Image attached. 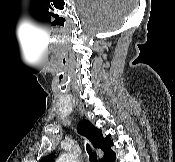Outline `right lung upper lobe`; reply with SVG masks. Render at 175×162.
<instances>
[{
  "label": "right lung upper lobe",
  "instance_id": "cb5924a9",
  "mask_svg": "<svg viewBox=\"0 0 175 162\" xmlns=\"http://www.w3.org/2000/svg\"><path fill=\"white\" fill-rule=\"evenodd\" d=\"M77 131L81 135L86 136L95 148L104 151V157L100 160V162H106V160H108V158L114 153L110 150V147L113 144L110 134L103 137L102 131L96 128L90 121H81L77 126ZM54 158L55 154H50L44 157L40 162H54Z\"/></svg>",
  "mask_w": 175,
  "mask_h": 162
}]
</instances>
